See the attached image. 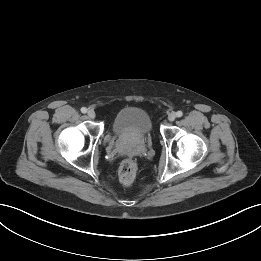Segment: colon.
I'll return each mask as SVG.
<instances>
[{"mask_svg":"<svg viewBox=\"0 0 261 261\" xmlns=\"http://www.w3.org/2000/svg\"><path fill=\"white\" fill-rule=\"evenodd\" d=\"M137 173V164L133 159L124 160L119 167V180L124 185H130Z\"/></svg>","mask_w":261,"mask_h":261,"instance_id":"5ec220e1","label":"colon"}]
</instances>
